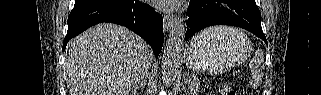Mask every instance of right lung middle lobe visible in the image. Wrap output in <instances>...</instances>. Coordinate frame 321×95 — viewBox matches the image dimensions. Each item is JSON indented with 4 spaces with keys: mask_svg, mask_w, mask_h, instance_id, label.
I'll list each match as a JSON object with an SVG mask.
<instances>
[{
    "mask_svg": "<svg viewBox=\"0 0 321 95\" xmlns=\"http://www.w3.org/2000/svg\"><path fill=\"white\" fill-rule=\"evenodd\" d=\"M100 1H104V0H75V5L91 3V2H100Z\"/></svg>",
    "mask_w": 321,
    "mask_h": 95,
    "instance_id": "dd1d6c3e",
    "label": "right lung middle lobe"
}]
</instances>
